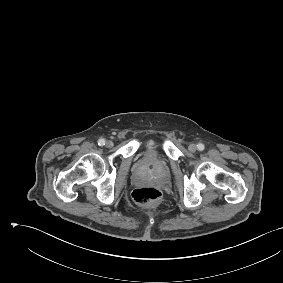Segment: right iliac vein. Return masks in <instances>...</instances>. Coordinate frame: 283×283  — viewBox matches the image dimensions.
I'll list each match as a JSON object with an SVG mask.
<instances>
[{
	"instance_id": "obj_1",
	"label": "right iliac vein",
	"mask_w": 283,
	"mask_h": 283,
	"mask_svg": "<svg viewBox=\"0 0 283 283\" xmlns=\"http://www.w3.org/2000/svg\"><path fill=\"white\" fill-rule=\"evenodd\" d=\"M105 145H106L107 148H111V147H113V142L109 140V141L106 142Z\"/></svg>"
}]
</instances>
